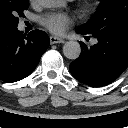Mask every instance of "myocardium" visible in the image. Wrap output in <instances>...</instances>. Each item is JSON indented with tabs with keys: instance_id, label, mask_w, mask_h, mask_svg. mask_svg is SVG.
Returning <instances> with one entry per match:
<instances>
[{
	"instance_id": "1",
	"label": "myocardium",
	"mask_w": 128,
	"mask_h": 128,
	"mask_svg": "<svg viewBox=\"0 0 128 128\" xmlns=\"http://www.w3.org/2000/svg\"><path fill=\"white\" fill-rule=\"evenodd\" d=\"M98 5L97 0H86L79 5V12L83 17H90L97 11Z\"/></svg>"
}]
</instances>
